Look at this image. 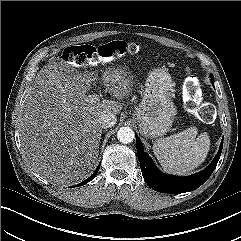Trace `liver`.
Returning a JSON list of instances; mask_svg holds the SVG:
<instances>
[{"mask_svg": "<svg viewBox=\"0 0 241 241\" xmlns=\"http://www.w3.org/2000/svg\"><path fill=\"white\" fill-rule=\"evenodd\" d=\"M97 72H78L63 61L44 66L25 98L19 132L32 169L57 185L75 184L94 170L102 129L99 116L118 114L132 91L126 67L106 68L102 83L113 100L87 95ZM116 99V100H115Z\"/></svg>", "mask_w": 241, "mask_h": 241, "instance_id": "liver-1", "label": "liver"}]
</instances>
